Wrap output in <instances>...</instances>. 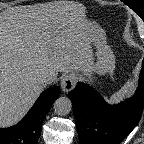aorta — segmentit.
<instances>
[{
    "instance_id": "762f6f07",
    "label": "aorta",
    "mask_w": 144,
    "mask_h": 144,
    "mask_svg": "<svg viewBox=\"0 0 144 144\" xmlns=\"http://www.w3.org/2000/svg\"><path fill=\"white\" fill-rule=\"evenodd\" d=\"M53 108L58 115H67L72 110L71 100L67 97H59L53 104Z\"/></svg>"
}]
</instances>
